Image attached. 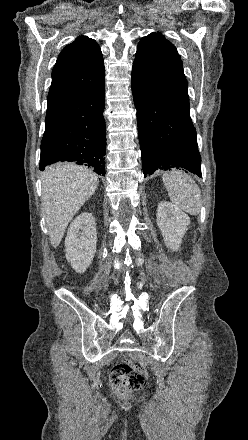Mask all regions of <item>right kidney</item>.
Returning <instances> with one entry per match:
<instances>
[{"instance_id": "ca27d5eb", "label": "right kidney", "mask_w": 248, "mask_h": 440, "mask_svg": "<svg viewBox=\"0 0 248 440\" xmlns=\"http://www.w3.org/2000/svg\"><path fill=\"white\" fill-rule=\"evenodd\" d=\"M97 231L91 213H82L70 224L65 238L66 259L78 273H84L96 253Z\"/></svg>"}]
</instances>
